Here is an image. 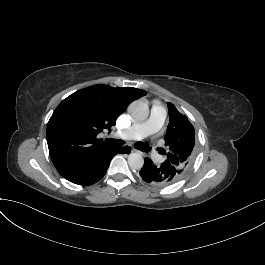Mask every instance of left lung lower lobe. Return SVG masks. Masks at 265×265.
I'll return each instance as SVG.
<instances>
[{
    "label": "left lung lower lobe",
    "mask_w": 265,
    "mask_h": 265,
    "mask_svg": "<svg viewBox=\"0 0 265 265\" xmlns=\"http://www.w3.org/2000/svg\"><path fill=\"white\" fill-rule=\"evenodd\" d=\"M142 180L154 186H166L179 180L178 171L168 162L155 165L151 159L145 158L144 166L139 172Z\"/></svg>",
    "instance_id": "1"
}]
</instances>
